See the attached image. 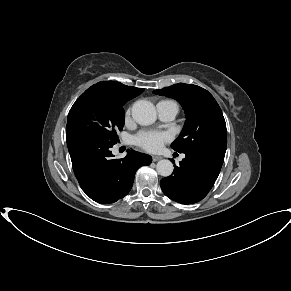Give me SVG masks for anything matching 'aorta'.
I'll return each mask as SVG.
<instances>
[{
	"instance_id": "762f6f07",
	"label": "aorta",
	"mask_w": 291,
	"mask_h": 291,
	"mask_svg": "<svg viewBox=\"0 0 291 291\" xmlns=\"http://www.w3.org/2000/svg\"><path fill=\"white\" fill-rule=\"evenodd\" d=\"M132 117L140 125H151L155 122L157 113L155 106L146 100H138L133 104ZM156 169L159 175L163 177L170 176L174 166L168 159L158 161Z\"/></svg>"
}]
</instances>
